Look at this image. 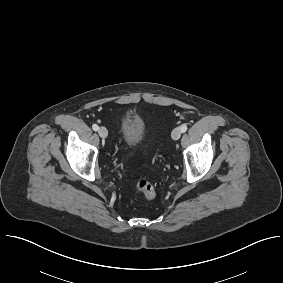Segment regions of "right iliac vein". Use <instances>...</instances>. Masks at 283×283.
Segmentation results:
<instances>
[{
  "label": "right iliac vein",
  "mask_w": 283,
  "mask_h": 283,
  "mask_svg": "<svg viewBox=\"0 0 283 283\" xmlns=\"http://www.w3.org/2000/svg\"><path fill=\"white\" fill-rule=\"evenodd\" d=\"M98 134H99V136L101 137V138H106L107 136H108V131H107V129L105 128V127H100L99 129H98Z\"/></svg>",
  "instance_id": "63e3f726"
}]
</instances>
